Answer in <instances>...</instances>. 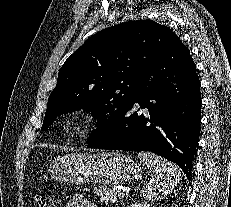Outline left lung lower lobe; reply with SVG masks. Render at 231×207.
<instances>
[{"label":"left lung lower lobe","instance_id":"left-lung-lower-lobe-1","mask_svg":"<svg viewBox=\"0 0 231 207\" xmlns=\"http://www.w3.org/2000/svg\"><path fill=\"white\" fill-rule=\"evenodd\" d=\"M138 87L118 129L88 147L151 151L176 163L190 180L199 141L200 81L179 38L141 74ZM143 108L147 113H140Z\"/></svg>","mask_w":231,"mask_h":207}]
</instances>
